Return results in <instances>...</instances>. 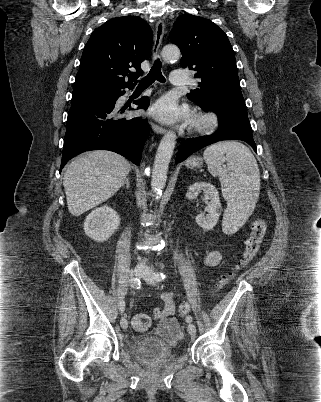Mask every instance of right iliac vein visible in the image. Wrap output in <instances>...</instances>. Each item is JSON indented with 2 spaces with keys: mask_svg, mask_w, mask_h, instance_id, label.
<instances>
[{
  "mask_svg": "<svg viewBox=\"0 0 321 402\" xmlns=\"http://www.w3.org/2000/svg\"><path fill=\"white\" fill-rule=\"evenodd\" d=\"M145 271H146L145 267H143V266H136V267L134 268V271H133V272H134V275H135L136 277L141 278V277L144 275ZM120 325H121V327H122L123 329H127V327H128V321H127V319L123 317V318L121 319V321H120Z\"/></svg>",
  "mask_w": 321,
  "mask_h": 402,
  "instance_id": "1",
  "label": "right iliac vein"
}]
</instances>
